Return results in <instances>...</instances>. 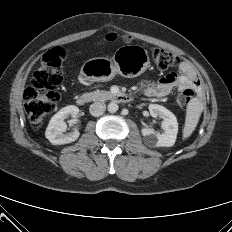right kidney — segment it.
I'll return each mask as SVG.
<instances>
[{
	"instance_id": "obj_1",
	"label": "right kidney",
	"mask_w": 232,
	"mask_h": 232,
	"mask_svg": "<svg viewBox=\"0 0 232 232\" xmlns=\"http://www.w3.org/2000/svg\"><path fill=\"white\" fill-rule=\"evenodd\" d=\"M78 112L79 108L77 106L69 105L62 108L51 118L45 136L53 145L68 144L78 139L80 135L78 130L64 134L67 128L64 120L69 116L76 117Z\"/></svg>"
}]
</instances>
